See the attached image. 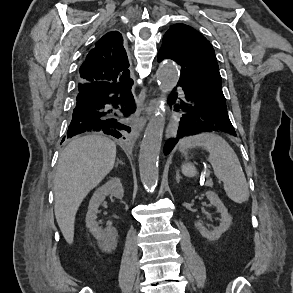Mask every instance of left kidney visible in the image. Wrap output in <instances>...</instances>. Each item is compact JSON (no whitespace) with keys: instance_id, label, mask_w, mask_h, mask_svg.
Instances as JSON below:
<instances>
[{"instance_id":"obj_1","label":"left kidney","mask_w":293,"mask_h":293,"mask_svg":"<svg viewBox=\"0 0 293 293\" xmlns=\"http://www.w3.org/2000/svg\"><path fill=\"white\" fill-rule=\"evenodd\" d=\"M210 203L217 208V211L221 214V222L214 230L207 229L202 223L195 222V227L199 230L201 235L209 241H217L221 235L228 230L232 223V217L228 213V210L219 199L218 195L213 191H207L205 193Z\"/></svg>"}]
</instances>
